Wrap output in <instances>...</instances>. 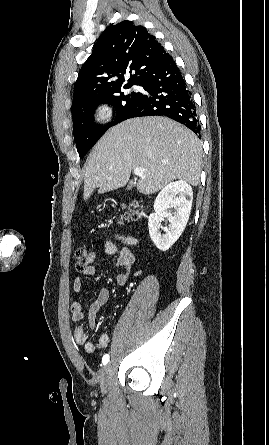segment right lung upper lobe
Returning a JSON list of instances; mask_svg holds the SVG:
<instances>
[{
	"instance_id": "right-lung-upper-lobe-1",
	"label": "right lung upper lobe",
	"mask_w": 269,
	"mask_h": 445,
	"mask_svg": "<svg viewBox=\"0 0 269 445\" xmlns=\"http://www.w3.org/2000/svg\"><path fill=\"white\" fill-rule=\"evenodd\" d=\"M170 55L148 33L145 27L132 21L110 25L95 44L92 54L83 64L74 85L73 108L105 93L121 88L126 73V84L139 83L153 67Z\"/></svg>"
}]
</instances>
